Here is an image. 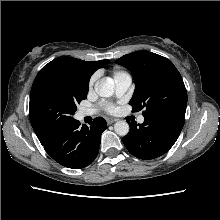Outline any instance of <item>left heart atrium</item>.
Returning a JSON list of instances; mask_svg holds the SVG:
<instances>
[{
	"label": "left heart atrium",
	"mask_w": 220,
	"mask_h": 220,
	"mask_svg": "<svg viewBox=\"0 0 220 220\" xmlns=\"http://www.w3.org/2000/svg\"><path fill=\"white\" fill-rule=\"evenodd\" d=\"M114 110H115L114 106H112V105L107 106V111L108 112L112 113Z\"/></svg>",
	"instance_id": "obj_1"
}]
</instances>
